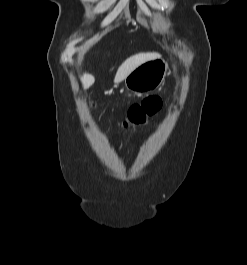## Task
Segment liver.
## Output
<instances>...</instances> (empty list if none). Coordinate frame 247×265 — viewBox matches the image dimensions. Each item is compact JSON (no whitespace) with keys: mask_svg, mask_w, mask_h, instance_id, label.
Listing matches in <instances>:
<instances>
[{"mask_svg":"<svg viewBox=\"0 0 247 265\" xmlns=\"http://www.w3.org/2000/svg\"><path fill=\"white\" fill-rule=\"evenodd\" d=\"M161 55L158 53H138L135 54L129 58H127L118 68L115 78H114V83H120L121 81H123L134 69H136L138 66H140L141 64L150 61V60H154L157 58H160ZM81 82L83 84L84 88H89L90 86H92L95 82V78L94 76L85 73L82 77H81Z\"/></svg>","mask_w":247,"mask_h":265,"instance_id":"6515ba94","label":"liver"}]
</instances>
